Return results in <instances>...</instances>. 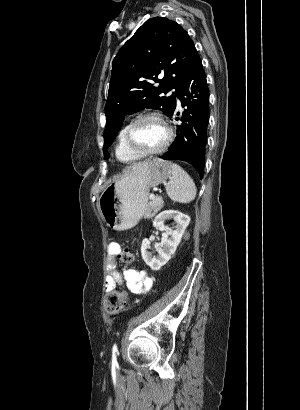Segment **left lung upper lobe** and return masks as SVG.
Here are the masks:
<instances>
[{
  "instance_id": "1",
  "label": "left lung upper lobe",
  "mask_w": 300,
  "mask_h": 410,
  "mask_svg": "<svg viewBox=\"0 0 300 410\" xmlns=\"http://www.w3.org/2000/svg\"><path fill=\"white\" fill-rule=\"evenodd\" d=\"M197 55L188 33L164 17L147 20L124 44L112 63L105 106V158L126 114L152 108L171 117L177 89ZM173 88L176 92L171 96L161 95Z\"/></svg>"
}]
</instances>
